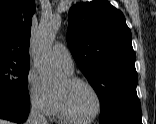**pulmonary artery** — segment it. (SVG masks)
I'll return each mask as SVG.
<instances>
[{
    "label": "pulmonary artery",
    "instance_id": "pulmonary-artery-1",
    "mask_svg": "<svg viewBox=\"0 0 156 124\" xmlns=\"http://www.w3.org/2000/svg\"><path fill=\"white\" fill-rule=\"evenodd\" d=\"M53 57L66 72H72L74 69L73 58L69 50L62 43H55L52 49Z\"/></svg>",
    "mask_w": 156,
    "mask_h": 124
}]
</instances>
